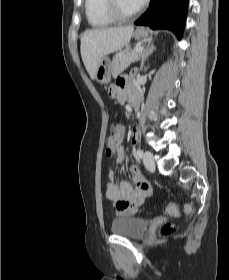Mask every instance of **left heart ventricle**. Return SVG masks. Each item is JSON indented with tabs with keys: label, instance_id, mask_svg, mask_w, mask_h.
<instances>
[{
	"label": "left heart ventricle",
	"instance_id": "b2bd125f",
	"mask_svg": "<svg viewBox=\"0 0 229 280\" xmlns=\"http://www.w3.org/2000/svg\"><path fill=\"white\" fill-rule=\"evenodd\" d=\"M122 12L129 14L134 12L138 7L132 0H118Z\"/></svg>",
	"mask_w": 229,
	"mask_h": 280
}]
</instances>
